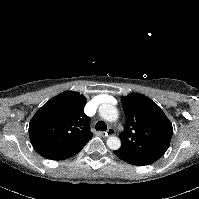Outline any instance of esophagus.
<instances>
[{"instance_id": "esophagus-1", "label": "esophagus", "mask_w": 199, "mask_h": 199, "mask_svg": "<svg viewBox=\"0 0 199 199\" xmlns=\"http://www.w3.org/2000/svg\"><path fill=\"white\" fill-rule=\"evenodd\" d=\"M115 133H116V132H115L114 129L109 128L106 132H102V135H104V136H112V135H114Z\"/></svg>"}]
</instances>
